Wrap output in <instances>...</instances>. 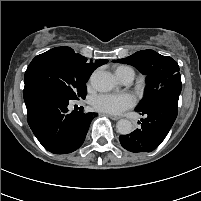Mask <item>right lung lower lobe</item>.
Instances as JSON below:
<instances>
[{
  "label": "right lung lower lobe",
  "instance_id": "obj_1",
  "mask_svg": "<svg viewBox=\"0 0 201 201\" xmlns=\"http://www.w3.org/2000/svg\"><path fill=\"white\" fill-rule=\"evenodd\" d=\"M23 93L28 124L45 149L55 154H66L82 145L90 122L97 113H70L67 97L38 82L25 84Z\"/></svg>",
  "mask_w": 201,
  "mask_h": 201
}]
</instances>
